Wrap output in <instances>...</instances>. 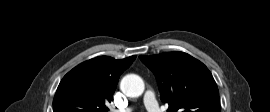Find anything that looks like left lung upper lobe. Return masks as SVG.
I'll return each mask as SVG.
<instances>
[{"instance_id": "1", "label": "left lung upper lobe", "mask_w": 270, "mask_h": 112, "mask_svg": "<svg viewBox=\"0 0 270 112\" xmlns=\"http://www.w3.org/2000/svg\"><path fill=\"white\" fill-rule=\"evenodd\" d=\"M139 58L156 76L167 112H220L216 82L202 62L184 52Z\"/></svg>"}]
</instances>
